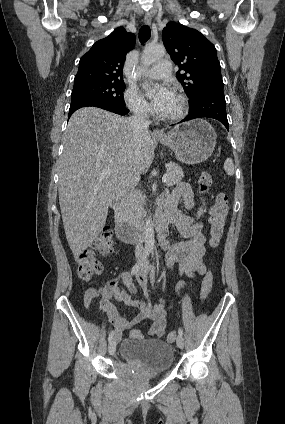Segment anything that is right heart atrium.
Here are the masks:
<instances>
[{"mask_svg":"<svg viewBox=\"0 0 285 424\" xmlns=\"http://www.w3.org/2000/svg\"><path fill=\"white\" fill-rule=\"evenodd\" d=\"M125 101L127 107L135 115L140 117H147L150 114V107L141 96L137 88L130 87L126 90Z\"/></svg>","mask_w":285,"mask_h":424,"instance_id":"1","label":"right heart atrium"}]
</instances>
